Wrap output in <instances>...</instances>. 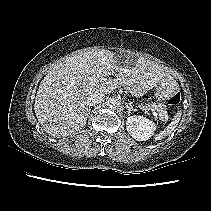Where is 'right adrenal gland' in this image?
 Returning <instances> with one entry per match:
<instances>
[{
  "mask_svg": "<svg viewBox=\"0 0 211 211\" xmlns=\"http://www.w3.org/2000/svg\"><path fill=\"white\" fill-rule=\"evenodd\" d=\"M91 108L89 109V114H90Z\"/></svg>",
  "mask_w": 211,
  "mask_h": 211,
  "instance_id": "1",
  "label": "right adrenal gland"
}]
</instances>
